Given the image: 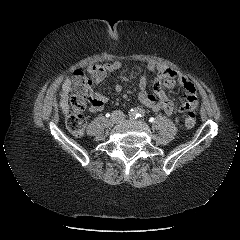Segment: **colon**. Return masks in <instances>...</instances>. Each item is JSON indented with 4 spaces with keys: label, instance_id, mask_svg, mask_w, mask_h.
<instances>
[{
    "label": "colon",
    "instance_id": "5ec220e1",
    "mask_svg": "<svg viewBox=\"0 0 240 240\" xmlns=\"http://www.w3.org/2000/svg\"><path fill=\"white\" fill-rule=\"evenodd\" d=\"M94 79V72H83L77 70L72 79V89L69 99L70 108L66 116V127L74 136L83 135L86 127V118L84 115L88 104L87 89ZM184 123L186 127L192 128L196 123L194 111H189Z\"/></svg>",
    "mask_w": 240,
    "mask_h": 240
}]
</instances>
